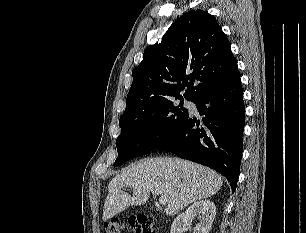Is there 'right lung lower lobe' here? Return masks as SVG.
I'll return each instance as SVG.
<instances>
[{"instance_id":"98d812e1","label":"right lung lower lobe","mask_w":306,"mask_h":233,"mask_svg":"<svg viewBox=\"0 0 306 233\" xmlns=\"http://www.w3.org/2000/svg\"><path fill=\"white\" fill-rule=\"evenodd\" d=\"M202 122L188 116L183 124L155 149L208 166L236 189L243 149L245 107L239 71L196 102Z\"/></svg>"}]
</instances>
